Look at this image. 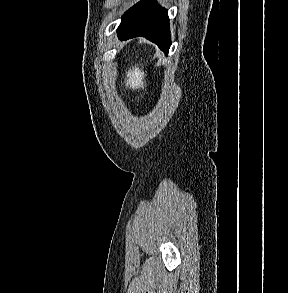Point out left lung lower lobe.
Listing matches in <instances>:
<instances>
[{
	"label": "left lung lower lobe",
	"mask_w": 288,
	"mask_h": 293,
	"mask_svg": "<svg viewBox=\"0 0 288 293\" xmlns=\"http://www.w3.org/2000/svg\"><path fill=\"white\" fill-rule=\"evenodd\" d=\"M168 20L167 10L156 0H141L123 15L117 30L118 37L127 40L143 36L168 54L171 45Z\"/></svg>",
	"instance_id": "1"
}]
</instances>
